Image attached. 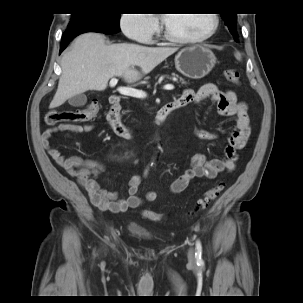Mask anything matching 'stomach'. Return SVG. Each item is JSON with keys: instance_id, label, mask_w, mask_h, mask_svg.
I'll return each mask as SVG.
<instances>
[{"instance_id": "0dacf381", "label": "stomach", "mask_w": 303, "mask_h": 303, "mask_svg": "<svg viewBox=\"0 0 303 303\" xmlns=\"http://www.w3.org/2000/svg\"><path fill=\"white\" fill-rule=\"evenodd\" d=\"M216 64L213 52L202 45L182 49L175 57V67L184 76L201 79L208 75Z\"/></svg>"}]
</instances>
